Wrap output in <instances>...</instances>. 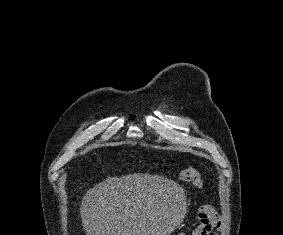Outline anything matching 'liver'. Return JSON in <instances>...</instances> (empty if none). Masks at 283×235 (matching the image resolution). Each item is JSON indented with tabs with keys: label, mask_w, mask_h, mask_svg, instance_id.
<instances>
[{
	"label": "liver",
	"mask_w": 283,
	"mask_h": 235,
	"mask_svg": "<svg viewBox=\"0 0 283 235\" xmlns=\"http://www.w3.org/2000/svg\"><path fill=\"white\" fill-rule=\"evenodd\" d=\"M183 190L162 176H108L82 198L86 235H169L181 223Z\"/></svg>",
	"instance_id": "6515ba94"
}]
</instances>
